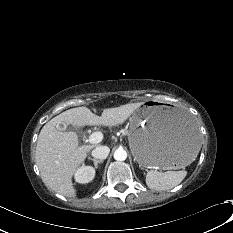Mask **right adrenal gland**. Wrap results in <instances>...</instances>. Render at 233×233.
I'll return each mask as SVG.
<instances>
[{
	"label": "right adrenal gland",
	"mask_w": 233,
	"mask_h": 233,
	"mask_svg": "<svg viewBox=\"0 0 233 233\" xmlns=\"http://www.w3.org/2000/svg\"><path fill=\"white\" fill-rule=\"evenodd\" d=\"M89 160H92L94 162L95 168H97L99 163H103V160H97L91 157H88Z\"/></svg>",
	"instance_id": "1"
}]
</instances>
